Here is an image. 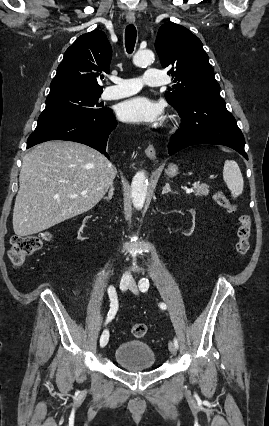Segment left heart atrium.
I'll list each match as a JSON object with an SVG mask.
<instances>
[{"instance_id": "obj_1", "label": "left heart atrium", "mask_w": 269, "mask_h": 426, "mask_svg": "<svg viewBox=\"0 0 269 426\" xmlns=\"http://www.w3.org/2000/svg\"><path fill=\"white\" fill-rule=\"evenodd\" d=\"M162 106L147 97L139 96L122 102L117 109L118 116L125 122L152 124L162 115Z\"/></svg>"}]
</instances>
